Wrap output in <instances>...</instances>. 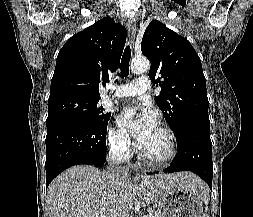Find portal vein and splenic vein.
I'll return each mask as SVG.
<instances>
[{"label":"portal vein and splenic vein","instance_id":"portal-vein-and-splenic-vein-1","mask_svg":"<svg viewBox=\"0 0 253 217\" xmlns=\"http://www.w3.org/2000/svg\"><path fill=\"white\" fill-rule=\"evenodd\" d=\"M101 217H104V216H101ZM143 217H150V216L146 215V216H143Z\"/></svg>","mask_w":253,"mask_h":217}]
</instances>
